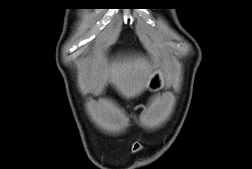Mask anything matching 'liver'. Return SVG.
I'll return each instance as SVG.
<instances>
[{
  "instance_id": "1",
  "label": "liver",
  "mask_w": 252,
  "mask_h": 169,
  "mask_svg": "<svg viewBox=\"0 0 252 169\" xmlns=\"http://www.w3.org/2000/svg\"><path fill=\"white\" fill-rule=\"evenodd\" d=\"M155 64L143 55H130L108 62L97 58L83 75V86L102 93L108 83L125 98L141 94L149 86L155 73Z\"/></svg>"
}]
</instances>
